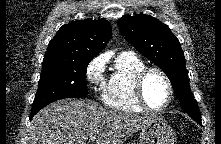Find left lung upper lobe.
<instances>
[{
    "mask_svg": "<svg viewBox=\"0 0 221 144\" xmlns=\"http://www.w3.org/2000/svg\"><path fill=\"white\" fill-rule=\"evenodd\" d=\"M117 24L127 42L165 72L183 111L193 119H201L197 103L191 95L185 56L170 28L145 14L124 16Z\"/></svg>",
    "mask_w": 221,
    "mask_h": 144,
    "instance_id": "1",
    "label": "left lung upper lobe"
}]
</instances>
